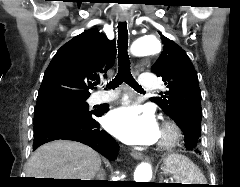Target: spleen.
Wrapping results in <instances>:
<instances>
[{"instance_id":"spleen-1","label":"spleen","mask_w":240,"mask_h":187,"mask_svg":"<svg viewBox=\"0 0 240 187\" xmlns=\"http://www.w3.org/2000/svg\"><path fill=\"white\" fill-rule=\"evenodd\" d=\"M165 164L177 183L206 184L200 169L186 156L172 154L165 159Z\"/></svg>"}]
</instances>
